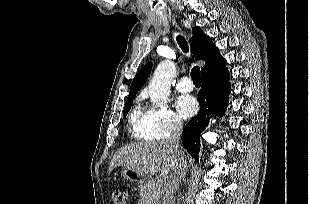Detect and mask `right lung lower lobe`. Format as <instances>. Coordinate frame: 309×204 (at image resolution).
<instances>
[{"label":"right lung lower lobe","instance_id":"1","mask_svg":"<svg viewBox=\"0 0 309 204\" xmlns=\"http://www.w3.org/2000/svg\"><path fill=\"white\" fill-rule=\"evenodd\" d=\"M231 87L226 66L202 76V88L199 91V113L184 127L182 144L191 156L198 160L200 134L214 115L222 116L227 108Z\"/></svg>","mask_w":309,"mask_h":204}]
</instances>
